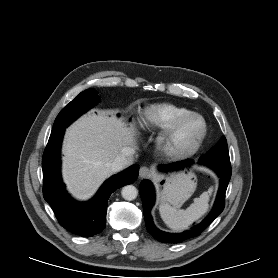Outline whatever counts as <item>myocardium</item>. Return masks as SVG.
I'll list each match as a JSON object with an SVG mask.
<instances>
[{
	"mask_svg": "<svg viewBox=\"0 0 278 278\" xmlns=\"http://www.w3.org/2000/svg\"><path fill=\"white\" fill-rule=\"evenodd\" d=\"M197 119L201 123V132L190 144L181 145L177 142V136L181 128L189 120ZM207 123L198 113H188L176 120L171 127L161 135L158 140L159 150L163 155L172 159H183L194 155L202 146L207 135Z\"/></svg>",
	"mask_w": 278,
	"mask_h": 278,
	"instance_id": "1",
	"label": "myocardium"
}]
</instances>
